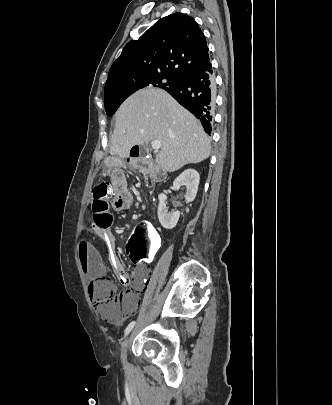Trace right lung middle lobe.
I'll return each instance as SVG.
<instances>
[{
  "label": "right lung middle lobe",
  "mask_w": 332,
  "mask_h": 405,
  "mask_svg": "<svg viewBox=\"0 0 332 405\" xmlns=\"http://www.w3.org/2000/svg\"><path fill=\"white\" fill-rule=\"evenodd\" d=\"M180 78V76L167 74H139L119 78L105 87L104 103L106 113L108 116L113 115L122 102L139 89L154 86L167 91L175 87Z\"/></svg>",
  "instance_id": "right-lung-middle-lobe-1"
}]
</instances>
